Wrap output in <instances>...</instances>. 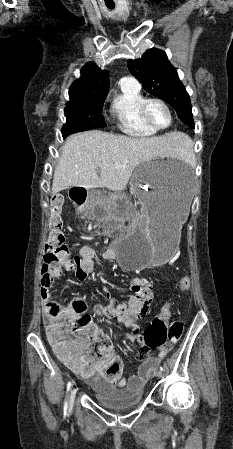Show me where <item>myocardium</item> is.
<instances>
[{
  "mask_svg": "<svg viewBox=\"0 0 233 449\" xmlns=\"http://www.w3.org/2000/svg\"><path fill=\"white\" fill-rule=\"evenodd\" d=\"M153 102L159 103L160 105H162V106L166 109V111H167V113H168V116H169V122L167 123L166 126L158 127V126L154 125V124L150 121V119L148 118V115H147V108H148V105H149L150 103H153ZM139 115H140L141 120H142V121H143V122L150 128V129H152V130H154V131H156V132H157V131H161V130H164V129L169 128V127L171 126L172 122H173V114H172L171 108L169 107V105H168L164 100H162V99H160V98H158V97L145 98V99L142 101V103L140 104V107H139Z\"/></svg>",
  "mask_w": 233,
  "mask_h": 449,
  "instance_id": "myocardium-1",
  "label": "myocardium"
}]
</instances>
